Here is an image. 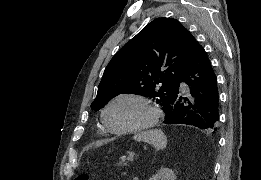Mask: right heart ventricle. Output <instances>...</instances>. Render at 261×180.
Here are the masks:
<instances>
[{
    "label": "right heart ventricle",
    "instance_id": "1",
    "mask_svg": "<svg viewBox=\"0 0 261 180\" xmlns=\"http://www.w3.org/2000/svg\"><path fill=\"white\" fill-rule=\"evenodd\" d=\"M96 134L99 137H109V136H113L112 134H110L104 127H99L96 130Z\"/></svg>",
    "mask_w": 261,
    "mask_h": 180
}]
</instances>
